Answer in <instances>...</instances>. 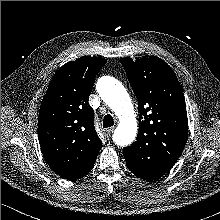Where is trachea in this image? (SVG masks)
Returning <instances> with one entry per match:
<instances>
[{
  "label": "trachea",
  "instance_id": "trachea-1",
  "mask_svg": "<svg viewBox=\"0 0 220 220\" xmlns=\"http://www.w3.org/2000/svg\"><path fill=\"white\" fill-rule=\"evenodd\" d=\"M114 125L113 117L110 114L105 115L103 119V128L111 127Z\"/></svg>",
  "mask_w": 220,
  "mask_h": 220
}]
</instances>
